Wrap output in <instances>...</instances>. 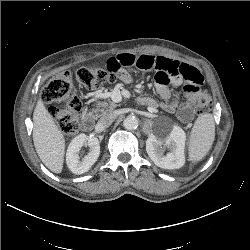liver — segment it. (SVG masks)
Here are the masks:
<instances>
[{
    "label": "liver",
    "mask_w": 250,
    "mask_h": 250,
    "mask_svg": "<svg viewBox=\"0 0 250 250\" xmlns=\"http://www.w3.org/2000/svg\"><path fill=\"white\" fill-rule=\"evenodd\" d=\"M33 125V142L39 158L50 171L61 173L65 154L64 135L41 98L33 113Z\"/></svg>",
    "instance_id": "6515ba94"
}]
</instances>
